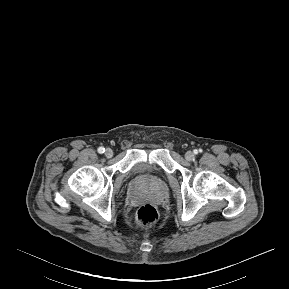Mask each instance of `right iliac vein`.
Segmentation results:
<instances>
[{"instance_id":"right-iliac-vein-1","label":"right iliac vein","mask_w":289,"mask_h":289,"mask_svg":"<svg viewBox=\"0 0 289 289\" xmlns=\"http://www.w3.org/2000/svg\"><path fill=\"white\" fill-rule=\"evenodd\" d=\"M105 156H106L107 158H111V157L113 156V151H112V149L107 148V149L105 150Z\"/></svg>"}]
</instances>
